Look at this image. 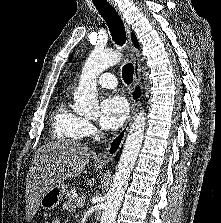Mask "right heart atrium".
Segmentation results:
<instances>
[{
  "mask_svg": "<svg viewBox=\"0 0 221 223\" xmlns=\"http://www.w3.org/2000/svg\"><path fill=\"white\" fill-rule=\"evenodd\" d=\"M94 132H95L94 126L91 123L86 122L85 123V133L87 135H91V134H94Z\"/></svg>",
  "mask_w": 221,
  "mask_h": 223,
  "instance_id": "1",
  "label": "right heart atrium"
}]
</instances>
